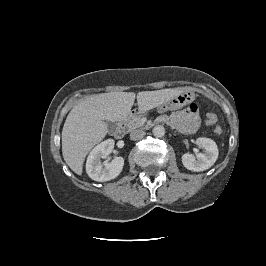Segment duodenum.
<instances>
[{
	"label": "duodenum",
	"mask_w": 266,
	"mask_h": 266,
	"mask_svg": "<svg viewBox=\"0 0 266 266\" xmlns=\"http://www.w3.org/2000/svg\"><path fill=\"white\" fill-rule=\"evenodd\" d=\"M114 134H115V136H116L117 138H120V137L123 136V134H124V125H123L122 123H120V124L116 127Z\"/></svg>",
	"instance_id": "410a0bca"
}]
</instances>
